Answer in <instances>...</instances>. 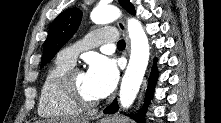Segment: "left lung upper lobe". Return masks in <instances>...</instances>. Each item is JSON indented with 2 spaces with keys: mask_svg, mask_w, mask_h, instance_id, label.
I'll return each instance as SVG.
<instances>
[{
  "mask_svg": "<svg viewBox=\"0 0 221 123\" xmlns=\"http://www.w3.org/2000/svg\"><path fill=\"white\" fill-rule=\"evenodd\" d=\"M121 6L131 14H135L134 6L129 0H119ZM82 19L79 8L68 9L59 14L53 21L45 41L42 67H44L60 50V48L75 34Z\"/></svg>",
  "mask_w": 221,
  "mask_h": 123,
  "instance_id": "1",
  "label": "left lung upper lobe"
}]
</instances>
